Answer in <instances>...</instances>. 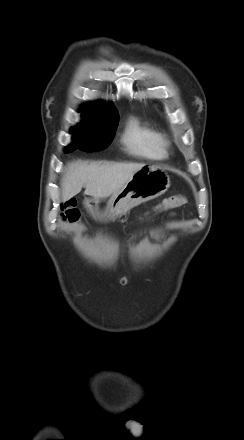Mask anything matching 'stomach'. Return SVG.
<instances>
[{
    "label": "stomach",
    "instance_id": "0dacf381",
    "mask_svg": "<svg viewBox=\"0 0 244 440\" xmlns=\"http://www.w3.org/2000/svg\"><path fill=\"white\" fill-rule=\"evenodd\" d=\"M169 187L170 178L161 167L144 165L110 198L105 211H100L99 201L95 198L85 199V206L95 219H113L141 203L161 196Z\"/></svg>",
    "mask_w": 244,
    "mask_h": 440
}]
</instances>
